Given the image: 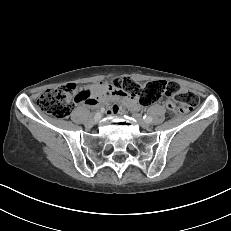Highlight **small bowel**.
<instances>
[{"mask_svg": "<svg viewBox=\"0 0 231 231\" xmlns=\"http://www.w3.org/2000/svg\"><path fill=\"white\" fill-rule=\"evenodd\" d=\"M83 97L78 100L79 103H85L90 107H99L112 99L119 100L123 105L138 110L140 108L139 101L135 96H129L124 93L117 92L110 88L107 81L86 85L81 88ZM110 113L119 111V106L111 105L108 108Z\"/></svg>", "mask_w": 231, "mask_h": 231, "instance_id": "small-bowel-1", "label": "small bowel"}]
</instances>
